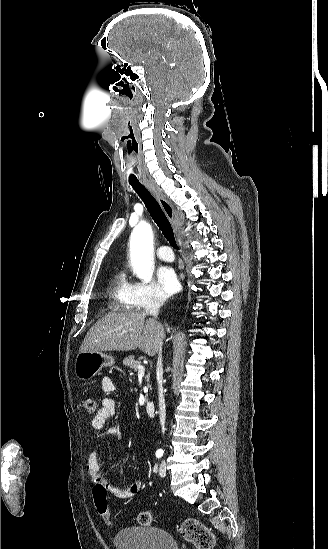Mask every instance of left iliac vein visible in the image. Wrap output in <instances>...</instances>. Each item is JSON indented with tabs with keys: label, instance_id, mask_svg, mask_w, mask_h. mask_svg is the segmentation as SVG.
Returning <instances> with one entry per match:
<instances>
[{
	"label": "left iliac vein",
	"instance_id": "1",
	"mask_svg": "<svg viewBox=\"0 0 328 549\" xmlns=\"http://www.w3.org/2000/svg\"><path fill=\"white\" fill-rule=\"evenodd\" d=\"M165 473H166V464L164 462L161 463L160 465V468H159V474L160 476H165Z\"/></svg>",
	"mask_w": 328,
	"mask_h": 549
}]
</instances>
